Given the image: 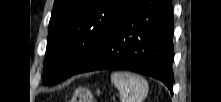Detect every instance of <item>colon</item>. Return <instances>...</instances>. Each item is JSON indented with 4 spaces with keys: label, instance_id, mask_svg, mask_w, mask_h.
<instances>
[{
    "label": "colon",
    "instance_id": "obj_1",
    "mask_svg": "<svg viewBox=\"0 0 221 102\" xmlns=\"http://www.w3.org/2000/svg\"><path fill=\"white\" fill-rule=\"evenodd\" d=\"M71 102H94V97L88 88H78L73 93Z\"/></svg>",
    "mask_w": 221,
    "mask_h": 102
}]
</instances>
